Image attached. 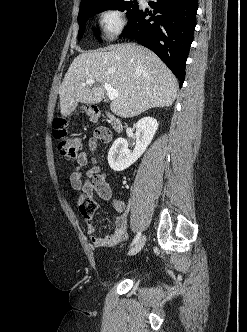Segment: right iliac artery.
I'll return each instance as SVG.
<instances>
[{"label": "right iliac artery", "instance_id": "right-iliac-artery-1", "mask_svg": "<svg viewBox=\"0 0 247 332\" xmlns=\"http://www.w3.org/2000/svg\"><path fill=\"white\" fill-rule=\"evenodd\" d=\"M140 237H141V232L139 231V232L137 233V235L135 236V238H134V240L132 241V243H131L130 246H133L134 244H136V243L139 241Z\"/></svg>", "mask_w": 247, "mask_h": 332}]
</instances>
